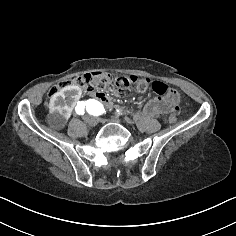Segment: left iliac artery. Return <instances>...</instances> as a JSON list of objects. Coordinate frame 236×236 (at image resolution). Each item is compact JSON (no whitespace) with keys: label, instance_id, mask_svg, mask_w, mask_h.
I'll list each match as a JSON object with an SVG mask.
<instances>
[{"label":"left iliac artery","instance_id":"left-iliac-artery-1","mask_svg":"<svg viewBox=\"0 0 236 236\" xmlns=\"http://www.w3.org/2000/svg\"><path fill=\"white\" fill-rule=\"evenodd\" d=\"M85 105L86 110L90 115L99 116L106 112L103 105L95 99L87 100ZM117 112H119V110H117Z\"/></svg>","mask_w":236,"mask_h":236}]
</instances>
